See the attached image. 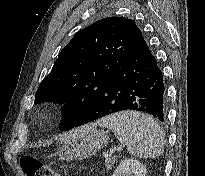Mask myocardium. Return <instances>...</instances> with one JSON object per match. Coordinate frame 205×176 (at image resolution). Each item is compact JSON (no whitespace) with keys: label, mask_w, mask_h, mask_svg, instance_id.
Segmentation results:
<instances>
[{"label":"myocardium","mask_w":205,"mask_h":176,"mask_svg":"<svg viewBox=\"0 0 205 176\" xmlns=\"http://www.w3.org/2000/svg\"><path fill=\"white\" fill-rule=\"evenodd\" d=\"M56 116V110L52 107L44 109L38 115V119L41 122L48 123L51 122Z\"/></svg>","instance_id":"f54148a6"}]
</instances>
